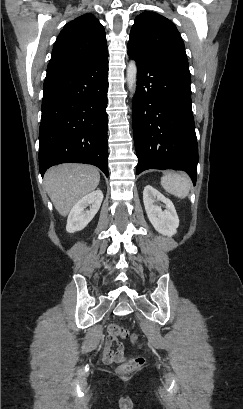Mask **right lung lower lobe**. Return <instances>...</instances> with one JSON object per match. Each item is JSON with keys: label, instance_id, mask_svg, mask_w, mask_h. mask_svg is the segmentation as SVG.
I'll return each instance as SVG.
<instances>
[{"label": "right lung lower lobe", "instance_id": "obj_1", "mask_svg": "<svg viewBox=\"0 0 243 409\" xmlns=\"http://www.w3.org/2000/svg\"><path fill=\"white\" fill-rule=\"evenodd\" d=\"M108 52L72 69L47 74L39 132V167L87 163L108 176Z\"/></svg>", "mask_w": 243, "mask_h": 409}]
</instances>
